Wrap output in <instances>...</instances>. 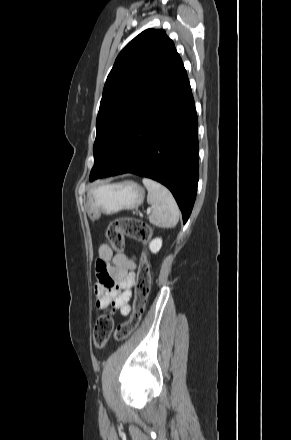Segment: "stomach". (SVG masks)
I'll return each instance as SVG.
<instances>
[{"label": "stomach", "mask_w": 291, "mask_h": 440, "mask_svg": "<svg viewBox=\"0 0 291 440\" xmlns=\"http://www.w3.org/2000/svg\"><path fill=\"white\" fill-rule=\"evenodd\" d=\"M144 197V189L134 181L97 185L88 190L85 208L90 219H97L102 213L134 209Z\"/></svg>", "instance_id": "obj_1"}]
</instances>
